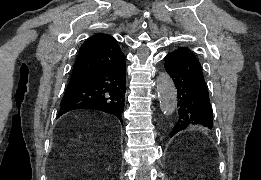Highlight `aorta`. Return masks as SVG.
I'll list each match as a JSON object with an SVG mask.
<instances>
[{"label":"aorta","instance_id":"1","mask_svg":"<svg viewBox=\"0 0 261 180\" xmlns=\"http://www.w3.org/2000/svg\"><path fill=\"white\" fill-rule=\"evenodd\" d=\"M157 93L163 114L172 115L177 107V90L166 72L160 73L157 77Z\"/></svg>","mask_w":261,"mask_h":180}]
</instances>
